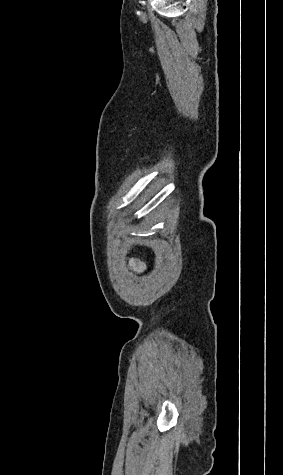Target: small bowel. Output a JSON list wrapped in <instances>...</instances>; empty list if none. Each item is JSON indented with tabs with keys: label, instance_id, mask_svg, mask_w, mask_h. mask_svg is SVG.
Masks as SVG:
<instances>
[{
	"label": "small bowel",
	"instance_id": "obj_1",
	"mask_svg": "<svg viewBox=\"0 0 283 475\" xmlns=\"http://www.w3.org/2000/svg\"><path fill=\"white\" fill-rule=\"evenodd\" d=\"M131 267L138 274H142L145 271V263L138 259L131 262Z\"/></svg>",
	"mask_w": 283,
	"mask_h": 475
}]
</instances>
